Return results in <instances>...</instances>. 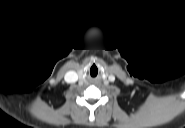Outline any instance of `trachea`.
I'll return each instance as SVG.
<instances>
[{
	"label": "trachea",
	"mask_w": 185,
	"mask_h": 128,
	"mask_svg": "<svg viewBox=\"0 0 185 128\" xmlns=\"http://www.w3.org/2000/svg\"><path fill=\"white\" fill-rule=\"evenodd\" d=\"M98 75V68L93 65L91 68H90V76L91 77H96Z\"/></svg>",
	"instance_id": "trachea-1"
}]
</instances>
